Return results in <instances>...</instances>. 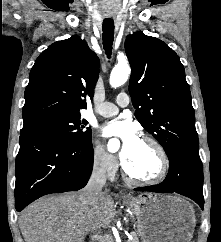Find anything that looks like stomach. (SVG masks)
<instances>
[{"mask_svg":"<svg viewBox=\"0 0 221 242\" xmlns=\"http://www.w3.org/2000/svg\"><path fill=\"white\" fill-rule=\"evenodd\" d=\"M123 202L136 215L143 242H190L196 219L184 198L146 193L124 198Z\"/></svg>","mask_w":221,"mask_h":242,"instance_id":"1","label":"stomach"}]
</instances>
